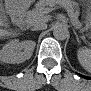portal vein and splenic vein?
<instances>
[{
  "label": "portal vein and splenic vein",
  "instance_id": "18ae733b",
  "mask_svg": "<svg viewBox=\"0 0 91 91\" xmlns=\"http://www.w3.org/2000/svg\"><path fill=\"white\" fill-rule=\"evenodd\" d=\"M77 27L80 28V25L78 24Z\"/></svg>",
  "mask_w": 91,
  "mask_h": 91
}]
</instances>
